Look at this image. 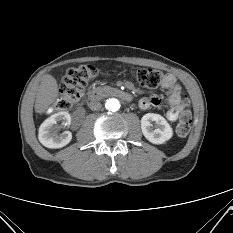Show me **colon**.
I'll return each mask as SVG.
<instances>
[{
    "label": "colon",
    "mask_w": 233,
    "mask_h": 233,
    "mask_svg": "<svg viewBox=\"0 0 233 233\" xmlns=\"http://www.w3.org/2000/svg\"><path fill=\"white\" fill-rule=\"evenodd\" d=\"M98 74V70L92 65H80L70 68L64 78L59 97L55 103L56 110H68L77 104L84 93V89ZM136 80L146 88H156L162 82L161 72L149 68H140L135 72ZM185 109L179 116L176 132L180 137L186 136L190 131L192 115L189 110V101L183 99Z\"/></svg>",
    "instance_id": "5ec220e1"
}]
</instances>
